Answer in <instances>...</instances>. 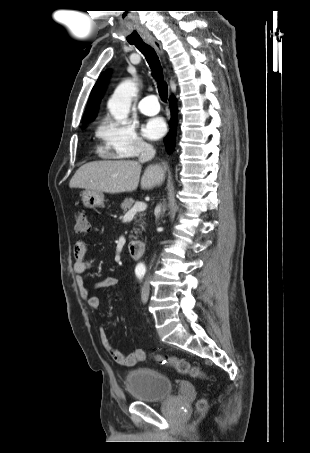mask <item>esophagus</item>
<instances>
[{
    "label": "esophagus",
    "instance_id": "esophagus-1",
    "mask_svg": "<svg viewBox=\"0 0 310 453\" xmlns=\"http://www.w3.org/2000/svg\"><path fill=\"white\" fill-rule=\"evenodd\" d=\"M146 41L149 44H151L158 51L159 54H161V55L163 54L162 46L158 40H156L153 37H148V38H146Z\"/></svg>",
    "mask_w": 310,
    "mask_h": 453
}]
</instances>
